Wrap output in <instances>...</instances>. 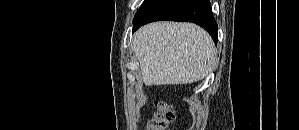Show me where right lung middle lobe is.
<instances>
[{
	"label": "right lung middle lobe",
	"mask_w": 299,
	"mask_h": 130,
	"mask_svg": "<svg viewBox=\"0 0 299 130\" xmlns=\"http://www.w3.org/2000/svg\"><path fill=\"white\" fill-rule=\"evenodd\" d=\"M148 1H149V0H145V1L143 2V4L141 5V7H142L144 4H146Z\"/></svg>",
	"instance_id": "obj_1"
}]
</instances>
